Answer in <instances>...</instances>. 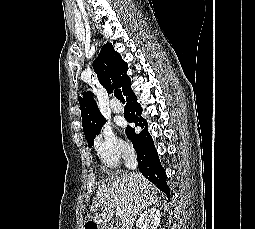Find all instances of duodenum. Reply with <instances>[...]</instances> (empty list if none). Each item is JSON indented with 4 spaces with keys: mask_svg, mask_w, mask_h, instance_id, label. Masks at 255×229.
I'll list each match as a JSON object with an SVG mask.
<instances>
[{
    "mask_svg": "<svg viewBox=\"0 0 255 229\" xmlns=\"http://www.w3.org/2000/svg\"><path fill=\"white\" fill-rule=\"evenodd\" d=\"M101 229H115V228L111 225H106V226H103Z\"/></svg>",
    "mask_w": 255,
    "mask_h": 229,
    "instance_id": "410a0bca",
    "label": "duodenum"
}]
</instances>
